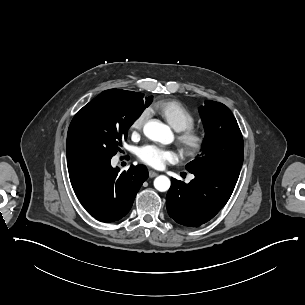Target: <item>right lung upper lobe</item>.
Listing matches in <instances>:
<instances>
[{"instance_id": "1", "label": "right lung upper lobe", "mask_w": 305, "mask_h": 305, "mask_svg": "<svg viewBox=\"0 0 305 305\" xmlns=\"http://www.w3.org/2000/svg\"><path fill=\"white\" fill-rule=\"evenodd\" d=\"M102 93L103 94L100 97L106 96V97L113 98V99H120V98L127 97L131 93H134V92L120 90V89H110V90H106Z\"/></svg>"}]
</instances>
